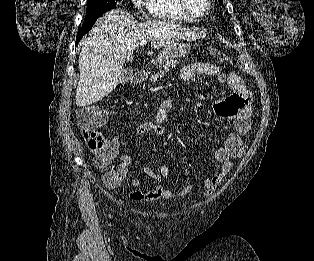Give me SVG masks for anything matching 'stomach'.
I'll list each match as a JSON object with an SVG mask.
<instances>
[{
	"label": "stomach",
	"instance_id": "obj_1",
	"mask_svg": "<svg viewBox=\"0 0 314 261\" xmlns=\"http://www.w3.org/2000/svg\"><path fill=\"white\" fill-rule=\"evenodd\" d=\"M188 54V46L183 42H174L163 50L158 57L159 64L164 63L167 59L185 57Z\"/></svg>",
	"mask_w": 314,
	"mask_h": 261
}]
</instances>
